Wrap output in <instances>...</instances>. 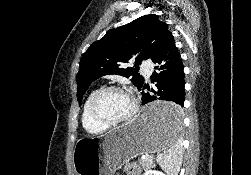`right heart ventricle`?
I'll return each instance as SVG.
<instances>
[{
    "label": "right heart ventricle",
    "mask_w": 251,
    "mask_h": 175,
    "mask_svg": "<svg viewBox=\"0 0 251 175\" xmlns=\"http://www.w3.org/2000/svg\"><path fill=\"white\" fill-rule=\"evenodd\" d=\"M100 89L93 90L86 98L83 109H82V125L84 130L92 135H99L102 134L107 130V127L99 124L98 122L94 121L90 114V104L92 99L94 98L95 94Z\"/></svg>",
    "instance_id": "obj_1"
}]
</instances>
